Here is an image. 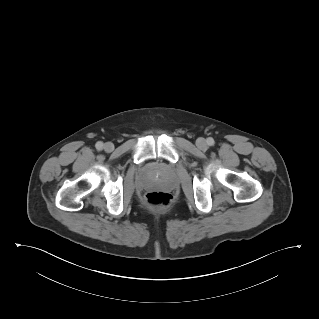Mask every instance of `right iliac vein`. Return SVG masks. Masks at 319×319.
I'll list each match as a JSON object with an SVG mask.
<instances>
[{
  "instance_id": "right-iliac-vein-1",
  "label": "right iliac vein",
  "mask_w": 319,
  "mask_h": 319,
  "mask_svg": "<svg viewBox=\"0 0 319 319\" xmlns=\"http://www.w3.org/2000/svg\"><path fill=\"white\" fill-rule=\"evenodd\" d=\"M104 149H105V151H107V152L113 151V149H114L113 143H111V142L105 143V144H104Z\"/></svg>"
}]
</instances>
